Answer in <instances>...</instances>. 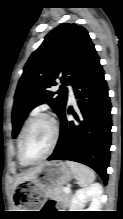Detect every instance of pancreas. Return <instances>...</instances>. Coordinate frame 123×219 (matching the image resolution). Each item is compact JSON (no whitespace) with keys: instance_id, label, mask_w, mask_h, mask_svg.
<instances>
[{"instance_id":"obj_1","label":"pancreas","mask_w":123,"mask_h":219,"mask_svg":"<svg viewBox=\"0 0 123 219\" xmlns=\"http://www.w3.org/2000/svg\"><path fill=\"white\" fill-rule=\"evenodd\" d=\"M50 198H54L57 201L69 202L71 194L65 193L63 187L54 188L48 192Z\"/></svg>"}]
</instances>
